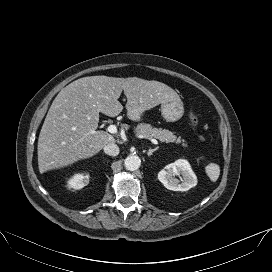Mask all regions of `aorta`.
I'll list each match as a JSON object with an SVG mask.
<instances>
[{"mask_svg": "<svg viewBox=\"0 0 272 272\" xmlns=\"http://www.w3.org/2000/svg\"><path fill=\"white\" fill-rule=\"evenodd\" d=\"M125 168L129 171L137 170L141 165V159L137 155H129L124 160Z\"/></svg>", "mask_w": 272, "mask_h": 272, "instance_id": "1", "label": "aorta"}]
</instances>
